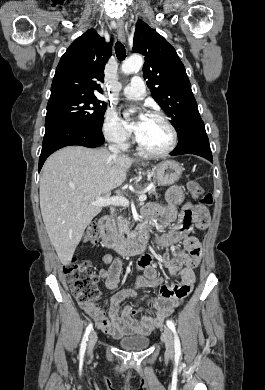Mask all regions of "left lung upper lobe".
<instances>
[{"mask_svg":"<svg viewBox=\"0 0 265 390\" xmlns=\"http://www.w3.org/2000/svg\"><path fill=\"white\" fill-rule=\"evenodd\" d=\"M133 44V51L145 56L143 77L151 95L171 117L182 144L203 122L184 65L173 46L141 20Z\"/></svg>","mask_w":265,"mask_h":390,"instance_id":"left-lung-upper-lobe-1","label":"left lung upper lobe"}]
</instances>
